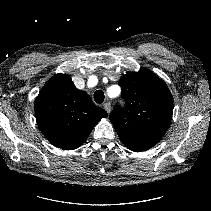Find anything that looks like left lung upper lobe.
Wrapping results in <instances>:
<instances>
[{
	"instance_id": "1",
	"label": "left lung upper lobe",
	"mask_w": 211,
	"mask_h": 211,
	"mask_svg": "<svg viewBox=\"0 0 211 211\" xmlns=\"http://www.w3.org/2000/svg\"><path fill=\"white\" fill-rule=\"evenodd\" d=\"M124 108L116 105L109 119L122 143L131 150H146L166 133L173 113V98L167 85L153 72L141 69L123 75Z\"/></svg>"
}]
</instances>
